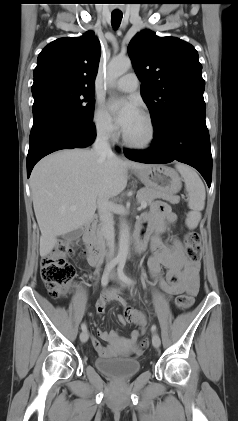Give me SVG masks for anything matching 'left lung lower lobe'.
Instances as JSON below:
<instances>
[{"label": "left lung lower lobe", "mask_w": 238, "mask_h": 421, "mask_svg": "<svg viewBox=\"0 0 238 421\" xmlns=\"http://www.w3.org/2000/svg\"><path fill=\"white\" fill-rule=\"evenodd\" d=\"M205 114V106L181 109L156 130L149 150H125L124 154L141 163L163 164L177 160L188 164L201 173L210 187L212 155Z\"/></svg>", "instance_id": "obj_1"}]
</instances>
